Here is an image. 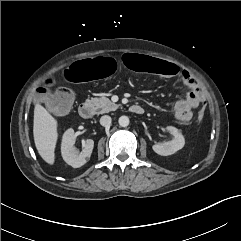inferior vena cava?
I'll return each instance as SVG.
<instances>
[{"label": "inferior vena cava", "instance_id": "inferior-vena-cava-1", "mask_svg": "<svg viewBox=\"0 0 241 241\" xmlns=\"http://www.w3.org/2000/svg\"><path fill=\"white\" fill-rule=\"evenodd\" d=\"M111 117L108 115H104L100 118V124L104 127L109 126L111 124Z\"/></svg>", "mask_w": 241, "mask_h": 241}]
</instances>
